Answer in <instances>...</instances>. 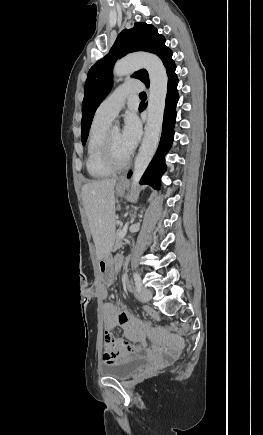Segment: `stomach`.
<instances>
[{
  "label": "stomach",
  "mask_w": 263,
  "mask_h": 435,
  "mask_svg": "<svg viewBox=\"0 0 263 435\" xmlns=\"http://www.w3.org/2000/svg\"><path fill=\"white\" fill-rule=\"evenodd\" d=\"M126 184L127 182L125 180H121L118 183L116 191L119 196L124 194ZM98 267L101 273L100 281L104 282V285L107 288H110L113 285V282L117 281V274L114 273L113 269H111V260L109 254L105 255L99 260Z\"/></svg>",
  "instance_id": "0dacf381"
}]
</instances>
